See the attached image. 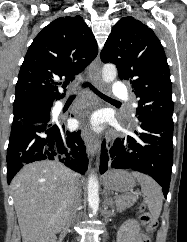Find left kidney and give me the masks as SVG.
I'll use <instances>...</instances> for the list:
<instances>
[{
  "instance_id": "left-kidney-1",
  "label": "left kidney",
  "mask_w": 187,
  "mask_h": 242,
  "mask_svg": "<svg viewBox=\"0 0 187 242\" xmlns=\"http://www.w3.org/2000/svg\"><path fill=\"white\" fill-rule=\"evenodd\" d=\"M140 226L135 220L126 221L117 232V242H134Z\"/></svg>"
}]
</instances>
